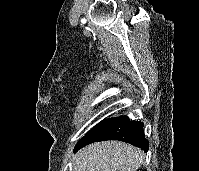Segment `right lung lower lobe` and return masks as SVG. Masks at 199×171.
I'll return each instance as SVG.
<instances>
[{
  "mask_svg": "<svg viewBox=\"0 0 199 171\" xmlns=\"http://www.w3.org/2000/svg\"><path fill=\"white\" fill-rule=\"evenodd\" d=\"M143 123L132 121L127 116L105 119L92 128L75 146V151L80 148L104 140H119L130 143L144 150L149 149V142L144 136Z\"/></svg>",
  "mask_w": 199,
  "mask_h": 171,
  "instance_id": "obj_1",
  "label": "right lung lower lobe"
}]
</instances>
